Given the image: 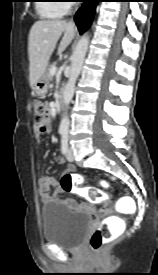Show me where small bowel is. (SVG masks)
I'll use <instances>...</instances> for the list:
<instances>
[{
	"instance_id": "c3829d8e",
	"label": "small bowel",
	"mask_w": 158,
	"mask_h": 275,
	"mask_svg": "<svg viewBox=\"0 0 158 275\" xmlns=\"http://www.w3.org/2000/svg\"><path fill=\"white\" fill-rule=\"evenodd\" d=\"M50 124L48 128L43 131L39 132L35 129V135L37 137H40L43 133L50 132ZM64 159L61 158L59 160L60 164L64 163ZM73 170V166H69L67 168V172H71ZM38 185H39V194L41 197V200L44 204H50L55 203L59 200L60 196L62 195L63 191L60 186V182L57 181L53 177H49L46 175H42L38 179ZM51 187H54V190H51ZM63 203L70 209L80 211L86 214H94L95 213V202L87 200L85 202H78L74 198H65L63 199Z\"/></svg>"
}]
</instances>
